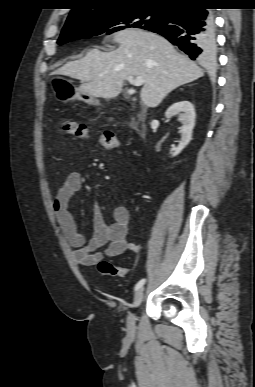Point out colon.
I'll list each match as a JSON object with an SVG mask.
<instances>
[{
	"mask_svg": "<svg viewBox=\"0 0 255 387\" xmlns=\"http://www.w3.org/2000/svg\"><path fill=\"white\" fill-rule=\"evenodd\" d=\"M63 133L84 141L94 142L105 149H115L120 146L119 137L113 132H104L97 135L89 133L87 127L76 122L64 123L61 127ZM98 270L102 275L112 277H125L128 273L126 268L117 266L110 261L101 260L98 263Z\"/></svg>",
	"mask_w": 255,
	"mask_h": 387,
	"instance_id": "colon-1",
	"label": "colon"
}]
</instances>
